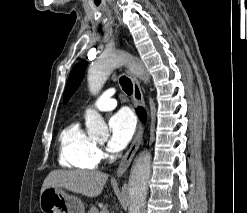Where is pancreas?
<instances>
[{
	"mask_svg": "<svg viewBox=\"0 0 247 213\" xmlns=\"http://www.w3.org/2000/svg\"><path fill=\"white\" fill-rule=\"evenodd\" d=\"M88 213H100L98 208L94 205H91L90 208H89V211Z\"/></svg>",
	"mask_w": 247,
	"mask_h": 213,
	"instance_id": "obj_1",
	"label": "pancreas"
}]
</instances>
